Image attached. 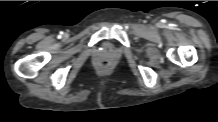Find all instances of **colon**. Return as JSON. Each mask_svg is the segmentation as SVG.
Returning <instances> with one entry per match:
<instances>
[{
    "mask_svg": "<svg viewBox=\"0 0 218 122\" xmlns=\"http://www.w3.org/2000/svg\"><path fill=\"white\" fill-rule=\"evenodd\" d=\"M99 67L103 71L109 70L111 68V62L109 60H102Z\"/></svg>",
    "mask_w": 218,
    "mask_h": 122,
    "instance_id": "1",
    "label": "colon"
}]
</instances>
